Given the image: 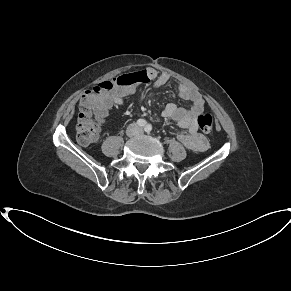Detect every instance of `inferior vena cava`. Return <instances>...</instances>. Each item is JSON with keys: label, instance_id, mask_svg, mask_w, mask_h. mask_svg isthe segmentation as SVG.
<instances>
[{"label": "inferior vena cava", "instance_id": "1", "mask_svg": "<svg viewBox=\"0 0 291 291\" xmlns=\"http://www.w3.org/2000/svg\"><path fill=\"white\" fill-rule=\"evenodd\" d=\"M132 127L134 128V129H136V130H140V128L137 126V125H132ZM140 132H141V130H140ZM135 134V133H134Z\"/></svg>", "mask_w": 291, "mask_h": 291}]
</instances>
